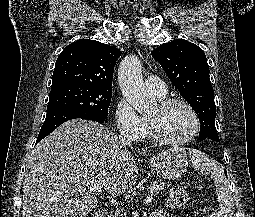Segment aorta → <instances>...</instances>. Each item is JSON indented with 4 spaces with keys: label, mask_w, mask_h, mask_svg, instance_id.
<instances>
[{
    "label": "aorta",
    "mask_w": 255,
    "mask_h": 217,
    "mask_svg": "<svg viewBox=\"0 0 255 217\" xmlns=\"http://www.w3.org/2000/svg\"><path fill=\"white\" fill-rule=\"evenodd\" d=\"M118 82L124 97L138 113L143 114L154 107V100L144 88L141 62L135 55L126 56L121 61Z\"/></svg>",
    "instance_id": "762f6f07"
}]
</instances>
